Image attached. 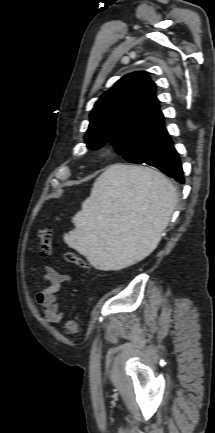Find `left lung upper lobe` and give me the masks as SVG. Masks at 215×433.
<instances>
[{
  "instance_id": "obj_1",
  "label": "left lung upper lobe",
  "mask_w": 215,
  "mask_h": 433,
  "mask_svg": "<svg viewBox=\"0 0 215 433\" xmlns=\"http://www.w3.org/2000/svg\"><path fill=\"white\" fill-rule=\"evenodd\" d=\"M155 93L145 72L117 81L94 105L87 147L98 149L109 141L128 162L156 167L168 132Z\"/></svg>"
}]
</instances>
